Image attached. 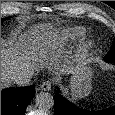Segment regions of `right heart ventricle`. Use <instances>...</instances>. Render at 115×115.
Instances as JSON below:
<instances>
[{"mask_svg": "<svg viewBox=\"0 0 115 115\" xmlns=\"http://www.w3.org/2000/svg\"><path fill=\"white\" fill-rule=\"evenodd\" d=\"M84 35L85 29L79 26L67 28L62 32V38L66 41H75L82 38Z\"/></svg>", "mask_w": 115, "mask_h": 115, "instance_id": "1", "label": "right heart ventricle"}]
</instances>
